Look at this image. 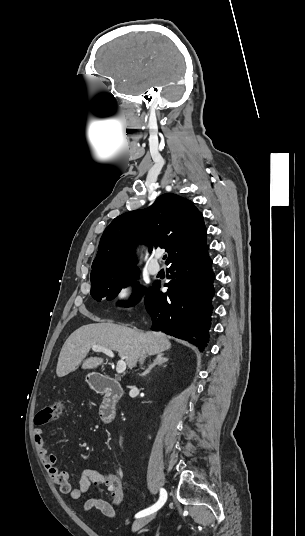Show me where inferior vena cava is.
<instances>
[{
  "instance_id": "obj_1",
  "label": "inferior vena cava",
  "mask_w": 305,
  "mask_h": 536,
  "mask_svg": "<svg viewBox=\"0 0 305 536\" xmlns=\"http://www.w3.org/2000/svg\"><path fill=\"white\" fill-rule=\"evenodd\" d=\"M146 356H144V354H142V356H140V364H143L144 360H145Z\"/></svg>"
}]
</instances>
